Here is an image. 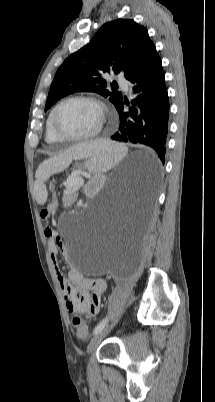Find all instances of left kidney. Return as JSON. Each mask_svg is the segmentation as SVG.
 <instances>
[{
	"instance_id": "5707ae66",
	"label": "left kidney",
	"mask_w": 215,
	"mask_h": 402,
	"mask_svg": "<svg viewBox=\"0 0 215 402\" xmlns=\"http://www.w3.org/2000/svg\"><path fill=\"white\" fill-rule=\"evenodd\" d=\"M96 175L99 178H89L88 184L85 187L87 193H96L97 187H102L103 185L102 177H104L105 175L104 170L102 169L97 170Z\"/></svg>"
}]
</instances>
